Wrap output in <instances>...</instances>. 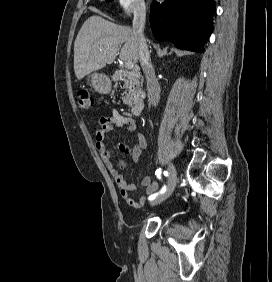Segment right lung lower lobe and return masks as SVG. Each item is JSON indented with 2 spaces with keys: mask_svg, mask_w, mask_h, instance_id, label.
<instances>
[{
  "mask_svg": "<svg viewBox=\"0 0 272 282\" xmlns=\"http://www.w3.org/2000/svg\"><path fill=\"white\" fill-rule=\"evenodd\" d=\"M213 0L153 1L150 24L158 41H170L177 48L202 53L212 32Z\"/></svg>",
  "mask_w": 272,
  "mask_h": 282,
  "instance_id": "obj_1",
  "label": "right lung lower lobe"
}]
</instances>
